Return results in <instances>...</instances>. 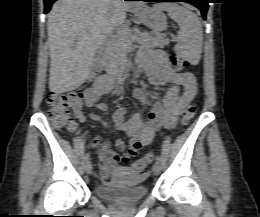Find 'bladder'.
Here are the masks:
<instances>
[{
    "label": "bladder",
    "instance_id": "obj_1",
    "mask_svg": "<svg viewBox=\"0 0 260 217\" xmlns=\"http://www.w3.org/2000/svg\"><path fill=\"white\" fill-rule=\"evenodd\" d=\"M140 179V174L130 167H119L107 184L95 187V192L99 198L116 205L139 203L147 196V188Z\"/></svg>",
    "mask_w": 260,
    "mask_h": 217
}]
</instances>
